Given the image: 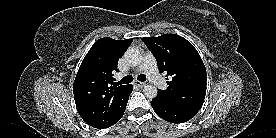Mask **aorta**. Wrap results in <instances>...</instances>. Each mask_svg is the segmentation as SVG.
I'll return each instance as SVG.
<instances>
[{"label":"aorta","mask_w":276,"mask_h":138,"mask_svg":"<svg viewBox=\"0 0 276 138\" xmlns=\"http://www.w3.org/2000/svg\"><path fill=\"white\" fill-rule=\"evenodd\" d=\"M125 60L132 66H136L141 63L142 55L137 48H128L124 54ZM144 95L153 99L157 96L158 90L154 85H145L143 89Z\"/></svg>","instance_id":"aorta-1"}]
</instances>
